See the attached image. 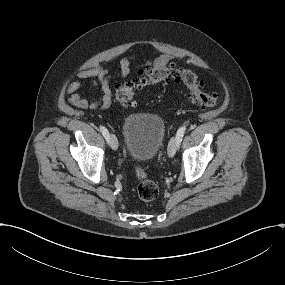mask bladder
<instances>
[{
    "instance_id": "obj_1",
    "label": "bladder",
    "mask_w": 285,
    "mask_h": 285,
    "mask_svg": "<svg viewBox=\"0 0 285 285\" xmlns=\"http://www.w3.org/2000/svg\"><path fill=\"white\" fill-rule=\"evenodd\" d=\"M122 129L124 146L134 162L152 159L166 139L164 119L154 113L129 114Z\"/></svg>"
}]
</instances>
